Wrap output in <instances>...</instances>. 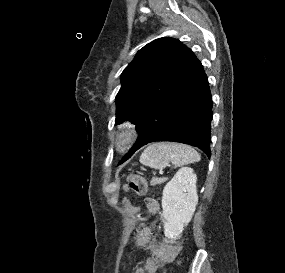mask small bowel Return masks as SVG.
Segmentation results:
<instances>
[{
	"label": "small bowel",
	"mask_w": 285,
	"mask_h": 273,
	"mask_svg": "<svg viewBox=\"0 0 285 273\" xmlns=\"http://www.w3.org/2000/svg\"><path fill=\"white\" fill-rule=\"evenodd\" d=\"M145 203L150 213L157 214L160 212V204L155 199L148 198ZM151 235L152 229L149 227V232H140L137 236V245L141 248L149 246L152 256L146 259L134 273H156L159 268L171 262L180 251V247L176 244L152 241Z\"/></svg>",
	"instance_id": "obj_1"
}]
</instances>
